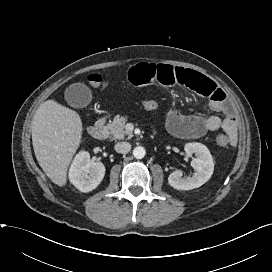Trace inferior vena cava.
Returning <instances> with one entry per match:
<instances>
[{
    "label": "inferior vena cava",
    "mask_w": 272,
    "mask_h": 272,
    "mask_svg": "<svg viewBox=\"0 0 272 272\" xmlns=\"http://www.w3.org/2000/svg\"><path fill=\"white\" fill-rule=\"evenodd\" d=\"M114 149L118 153L126 154L131 150V144L129 142H118L115 144Z\"/></svg>",
    "instance_id": "inferior-vena-cava-1"
}]
</instances>
